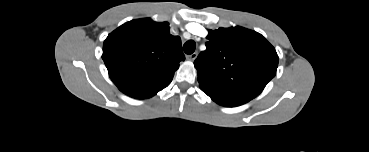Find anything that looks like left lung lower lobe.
I'll list each match as a JSON object with an SVG mask.
<instances>
[{
    "instance_id": "0a47b994",
    "label": "left lung lower lobe",
    "mask_w": 369,
    "mask_h": 152,
    "mask_svg": "<svg viewBox=\"0 0 369 152\" xmlns=\"http://www.w3.org/2000/svg\"><path fill=\"white\" fill-rule=\"evenodd\" d=\"M204 93H206L213 101L217 104L225 106V107H235L247 103L249 100L240 96L230 95L215 92L212 90L201 89Z\"/></svg>"
}]
</instances>
